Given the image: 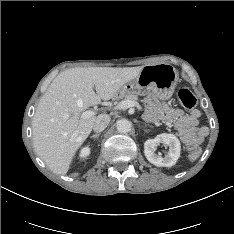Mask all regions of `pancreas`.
Masks as SVG:
<instances>
[{
	"instance_id": "1",
	"label": "pancreas",
	"mask_w": 234,
	"mask_h": 234,
	"mask_svg": "<svg viewBox=\"0 0 234 234\" xmlns=\"http://www.w3.org/2000/svg\"><path fill=\"white\" fill-rule=\"evenodd\" d=\"M123 98H124V100H132L135 102L138 100V96L134 95V94L123 96Z\"/></svg>"
}]
</instances>
